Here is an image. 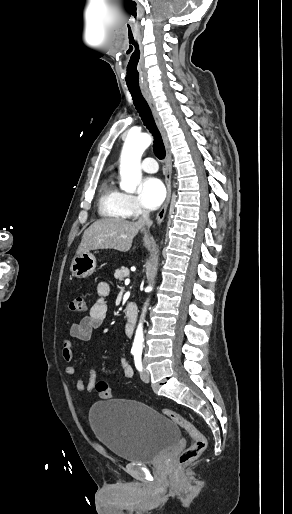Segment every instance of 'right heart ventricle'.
Returning <instances> with one entry per match:
<instances>
[{"mask_svg": "<svg viewBox=\"0 0 292 514\" xmlns=\"http://www.w3.org/2000/svg\"><path fill=\"white\" fill-rule=\"evenodd\" d=\"M98 211L104 218H123L127 212L125 193L113 182L112 175H108L100 184L98 190Z\"/></svg>", "mask_w": 292, "mask_h": 514, "instance_id": "e07e8e85", "label": "right heart ventricle"}]
</instances>
